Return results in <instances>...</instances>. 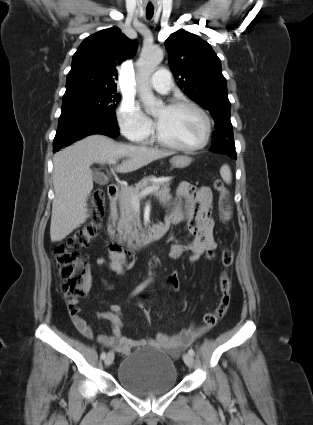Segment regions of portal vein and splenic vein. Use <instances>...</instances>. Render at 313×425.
Instances as JSON below:
<instances>
[{
    "label": "portal vein and splenic vein",
    "instance_id": "1",
    "mask_svg": "<svg viewBox=\"0 0 313 425\" xmlns=\"http://www.w3.org/2000/svg\"><path fill=\"white\" fill-rule=\"evenodd\" d=\"M108 164L109 165H114V164H116V161L115 160H111V161L108 162ZM157 189L158 188H156V187H150V188L145 189L143 192H141L140 195L132 197L133 206L136 209H138L139 208V200H140V198L145 197L146 195H148L149 193H151L153 191H156Z\"/></svg>",
    "mask_w": 313,
    "mask_h": 425
}]
</instances>
